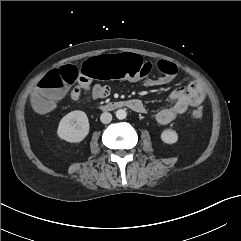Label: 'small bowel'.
<instances>
[{
  "mask_svg": "<svg viewBox=\"0 0 241 241\" xmlns=\"http://www.w3.org/2000/svg\"><path fill=\"white\" fill-rule=\"evenodd\" d=\"M172 77L165 75L156 79H146L147 86H160L168 84ZM87 93L93 101L101 100L109 96L110 87L105 84H94L91 86V79L83 74L78 78V83L70 90V97L74 101H82ZM205 99V92L201 82L194 80L183 87L174 89L169 95L171 106L163 108L151 116L159 124L166 125L181 118L190 107H198ZM131 108L139 113H146L144 104L139 99L129 100Z\"/></svg>",
  "mask_w": 241,
  "mask_h": 241,
  "instance_id": "obj_1",
  "label": "small bowel"
}]
</instances>
